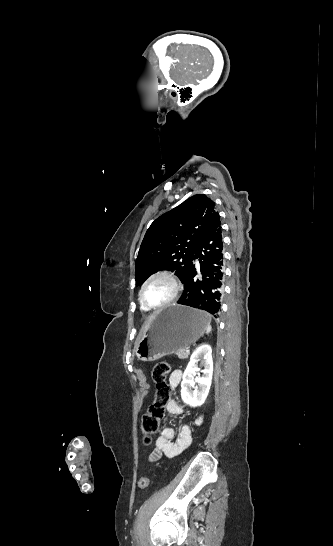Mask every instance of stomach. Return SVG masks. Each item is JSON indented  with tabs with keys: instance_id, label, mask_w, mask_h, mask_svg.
Returning <instances> with one entry per match:
<instances>
[{
	"instance_id": "0dacf381",
	"label": "stomach",
	"mask_w": 333,
	"mask_h": 546,
	"mask_svg": "<svg viewBox=\"0 0 333 546\" xmlns=\"http://www.w3.org/2000/svg\"><path fill=\"white\" fill-rule=\"evenodd\" d=\"M209 322L204 311L182 305L167 307L154 315L134 353L141 361H156L189 348L204 334Z\"/></svg>"
}]
</instances>
